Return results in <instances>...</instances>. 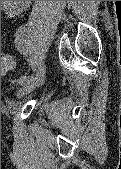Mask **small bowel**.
<instances>
[{
  "instance_id": "c3829d8e",
  "label": "small bowel",
  "mask_w": 121,
  "mask_h": 169,
  "mask_svg": "<svg viewBox=\"0 0 121 169\" xmlns=\"http://www.w3.org/2000/svg\"><path fill=\"white\" fill-rule=\"evenodd\" d=\"M30 1H2L4 11L8 16H16L23 8H25Z\"/></svg>"
}]
</instances>
